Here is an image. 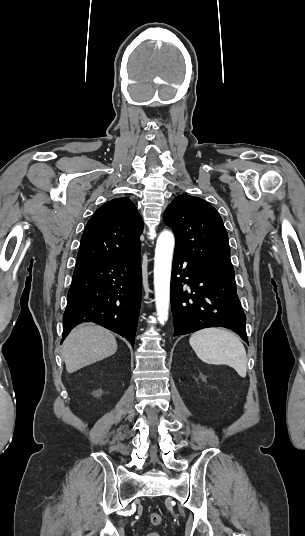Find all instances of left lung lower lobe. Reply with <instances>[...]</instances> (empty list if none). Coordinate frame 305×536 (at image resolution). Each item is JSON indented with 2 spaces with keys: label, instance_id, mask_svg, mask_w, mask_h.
Wrapping results in <instances>:
<instances>
[{
  "label": "left lung lower lobe",
  "instance_id": "1",
  "mask_svg": "<svg viewBox=\"0 0 305 536\" xmlns=\"http://www.w3.org/2000/svg\"><path fill=\"white\" fill-rule=\"evenodd\" d=\"M184 284L189 286L188 290ZM171 308L174 336L208 327H225L248 343L246 317L232 270L208 267L174 253Z\"/></svg>",
  "mask_w": 305,
  "mask_h": 536
}]
</instances>
